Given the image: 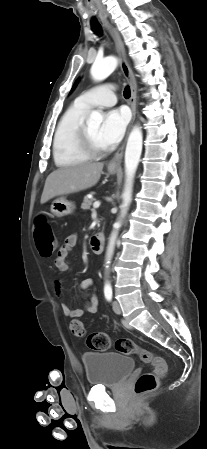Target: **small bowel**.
<instances>
[{
    "instance_id": "obj_1",
    "label": "small bowel",
    "mask_w": 207,
    "mask_h": 449,
    "mask_svg": "<svg viewBox=\"0 0 207 449\" xmlns=\"http://www.w3.org/2000/svg\"><path fill=\"white\" fill-rule=\"evenodd\" d=\"M77 235L71 234L69 235L64 242L61 244L56 259H55V267L60 271H68L70 269L69 264V256L77 244ZM94 282L91 278H86L82 280L78 288L80 290H87L91 286H93ZM54 290L56 294L61 295L62 293V284L60 281L54 282ZM88 303L84 308L73 309L70 303L62 304V311L66 316L70 317H80L84 314H95L98 310V298L95 293L88 294Z\"/></svg>"
}]
</instances>
